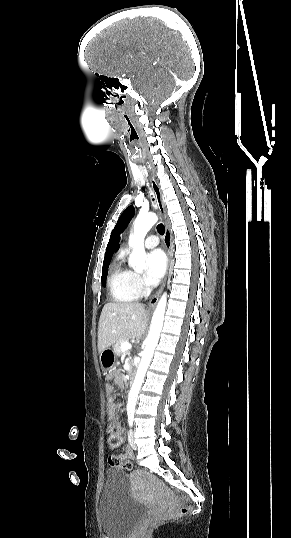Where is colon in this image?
<instances>
[{
  "label": "colon",
  "mask_w": 291,
  "mask_h": 538,
  "mask_svg": "<svg viewBox=\"0 0 291 538\" xmlns=\"http://www.w3.org/2000/svg\"><path fill=\"white\" fill-rule=\"evenodd\" d=\"M107 439H108V444H109L110 448H112V449H114L118 445H120V443L122 442V439H123V433H122V430L120 429V427L117 424L110 423L108 425V427H107ZM111 463L114 464L115 466H121L125 470L132 469V463L129 460L122 461L120 459L114 458V459H111ZM188 512H189V507L187 505H184L176 512L175 517L176 518L183 517Z\"/></svg>",
  "instance_id": "5ec220e1"
}]
</instances>
